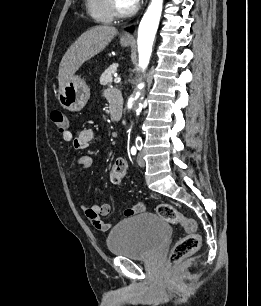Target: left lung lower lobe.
I'll return each mask as SVG.
<instances>
[{
  "instance_id": "obj_1",
  "label": "left lung lower lobe",
  "mask_w": 261,
  "mask_h": 306,
  "mask_svg": "<svg viewBox=\"0 0 261 306\" xmlns=\"http://www.w3.org/2000/svg\"><path fill=\"white\" fill-rule=\"evenodd\" d=\"M127 30L132 31V28H128Z\"/></svg>"
}]
</instances>
